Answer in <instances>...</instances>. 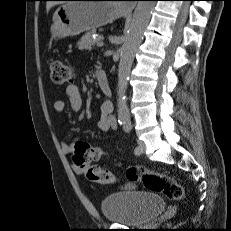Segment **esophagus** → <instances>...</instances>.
<instances>
[{
  "instance_id": "esophagus-1",
  "label": "esophagus",
  "mask_w": 231,
  "mask_h": 231,
  "mask_svg": "<svg viewBox=\"0 0 231 231\" xmlns=\"http://www.w3.org/2000/svg\"><path fill=\"white\" fill-rule=\"evenodd\" d=\"M121 8L126 9L127 11H132V9L134 8V5L133 4H123Z\"/></svg>"
}]
</instances>
